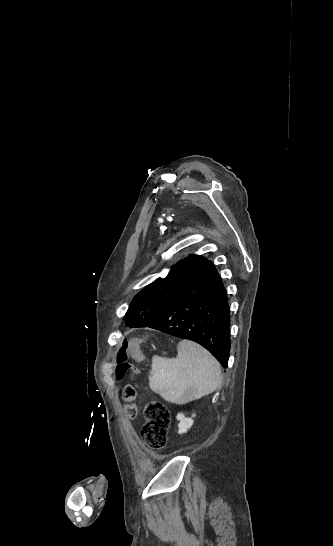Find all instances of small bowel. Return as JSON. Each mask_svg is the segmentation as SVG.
<instances>
[{
  "label": "small bowel",
  "mask_w": 333,
  "mask_h": 546,
  "mask_svg": "<svg viewBox=\"0 0 333 546\" xmlns=\"http://www.w3.org/2000/svg\"><path fill=\"white\" fill-rule=\"evenodd\" d=\"M138 337L140 339L138 338L134 341V344L133 346H131L129 353H130L131 360L136 365H143L146 359H145L144 350L142 348L143 341L141 340V338L143 339L145 336L143 334L142 335L140 334ZM124 407L127 409L128 411L127 415L129 417H134L138 413V408L133 403H127Z\"/></svg>",
  "instance_id": "small-bowel-1"
}]
</instances>
